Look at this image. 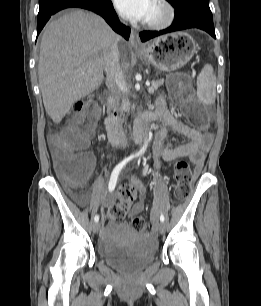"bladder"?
<instances>
[{"label":"bladder","instance_id":"bladder-1","mask_svg":"<svg viewBox=\"0 0 261 306\" xmlns=\"http://www.w3.org/2000/svg\"><path fill=\"white\" fill-rule=\"evenodd\" d=\"M157 244L150 239H137L131 244L121 237L110 239L99 246L100 259L108 266L131 274L150 265L156 257Z\"/></svg>","mask_w":261,"mask_h":306}]
</instances>
